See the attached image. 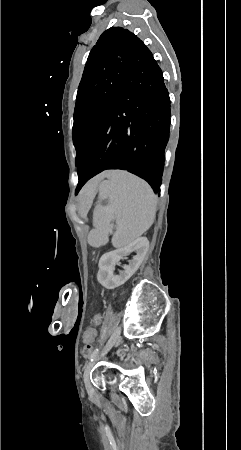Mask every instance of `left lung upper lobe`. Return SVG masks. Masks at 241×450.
<instances>
[{
	"label": "left lung upper lobe",
	"instance_id": "1",
	"mask_svg": "<svg viewBox=\"0 0 241 450\" xmlns=\"http://www.w3.org/2000/svg\"><path fill=\"white\" fill-rule=\"evenodd\" d=\"M141 40L121 27L106 30L90 51L78 87L73 140L76 165L90 134L119 99L123 77Z\"/></svg>",
	"mask_w": 241,
	"mask_h": 450
}]
</instances>
